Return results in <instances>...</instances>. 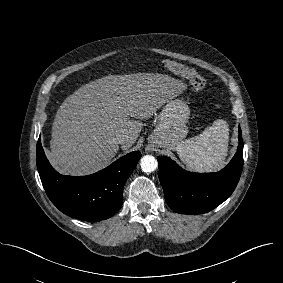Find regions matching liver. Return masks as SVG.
I'll use <instances>...</instances> for the list:
<instances>
[{"label": "liver", "mask_w": 283, "mask_h": 283, "mask_svg": "<svg viewBox=\"0 0 283 283\" xmlns=\"http://www.w3.org/2000/svg\"><path fill=\"white\" fill-rule=\"evenodd\" d=\"M185 89L181 81L153 73L108 75L81 86L56 113L50 141L52 166L74 176L104 168L119 150L116 137L124 135L121 148L129 149L141 132V120Z\"/></svg>", "instance_id": "6515ba94"}]
</instances>
